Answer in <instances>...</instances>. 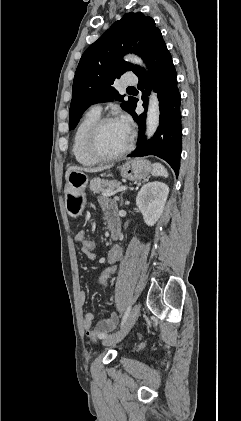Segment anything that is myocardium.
<instances>
[{
  "instance_id": "f54148a6",
  "label": "myocardium",
  "mask_w": 241,
  "mask_h": 421,
  "mask_svg": "<svg viewBox=\"0 0 241 421\" xmlns=\"http://www.w3.org/2000/svg\"><path fill=\"white\" fill-rule=\"evenodd\" d=\"M114 121H118V119L112 116L99 117L94 122V124L91 126V128L89 129L87 133L86 142H85L86 150L94 159L98 161H112V160L119 159L123 157L124 155H126L132 148L133 135L130 132L127 144L122 150L113 154H106L100 150L98 146L99 133L104 125L110 122H114Z\"/></svg>"
}]
</instances>
